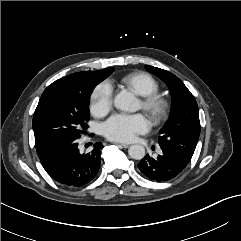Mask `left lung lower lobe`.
Instances as JSON below:
<instances>
[{"mask_svg":"<svg viewBox=\"0 0 241 241\" xmlns=\"http://www.w3.org/2000/svg\"><path fill=\"white\" fill-rule=\"evenodd\" d=\"M162 152L156 158L146 155L139 163V170L149 179L157 182L168 181L178 176L187 166L179 157L168 149L161 148Z\"/></svg>","mask_w":241,"mask_h":241,"instance_id":"1","label":"left lung lower lobe"}]
</instances>
